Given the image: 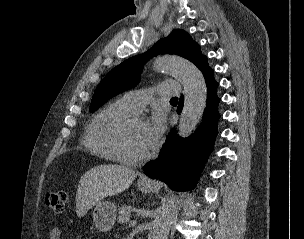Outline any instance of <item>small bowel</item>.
Instances as JSON below:
<instances>
[{"mask_svg":"<svg viewBox=\"0 0 304 239\" xmlns=\"http://www.w3.org/2000/svg\"><path fill=\"white\" fill-rule=\"evenodd\" d=\"M63 233L59 227H54L49 232V239H62Z\"/></svg>","mask_w":304,"mask_h":239,"instance_id":"obj_1","label":"small bowel"}]
</instances>
